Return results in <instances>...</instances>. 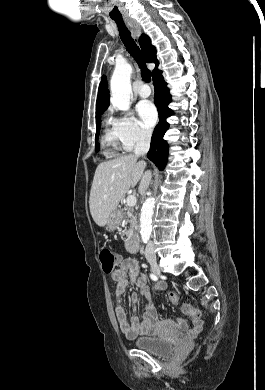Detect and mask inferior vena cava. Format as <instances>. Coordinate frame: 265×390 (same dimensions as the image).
<instances>
[{
	"label": "inferior vena cava",
	"mask_w": 265,
	"mask_h": 390,
	"mask_svg": "<svg viewBox=\"0 0 265 390\" xmlns=\"http://www.w3.org/2000/svg\"><path fill=\"white\" fill-rule=\"evenodd\" d=\"M150 140H151V134L149 132H144V131L140 132L138 141L134 149V153L136 156H144L148 152L150 148ZM150 180H151V172L147 171L145 172L141 180L140 187H139L140 192L146 190ZM145 256L146 257L155 256L154 245L151 241H149L146 245Z\"/></svg>",
	"instance_id": "602c4592"
}]
</instances>
